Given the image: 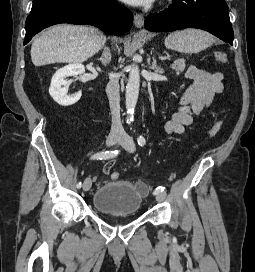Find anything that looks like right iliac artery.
I'll return each mask as SVG.
<instances>
[{"label":"right iliac artery","instance_id":"right-iliac-artery-1","mask_svg":"<svg viewBox=\"0 0 255 272\" xmlns=\"http://www.w3.org/2000/svg\"><path fill=\"white\" fill-rule=\"evenodd\" d=\"M119 151L118 150H115V151H105V152H99V153H96L95 155H93L91 157V159H97V160H106V159H110V158H114L118 155ZM82 186V183L79 182L77 183V188H81Z\"/></svg>","mask_w":255,"mask_h":272}]
</instances>
